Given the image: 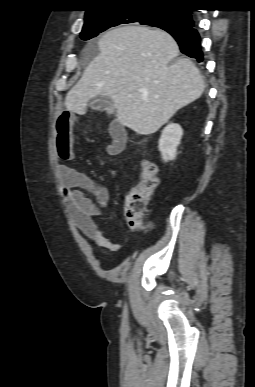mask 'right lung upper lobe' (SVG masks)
Here are the masks:
<instances>
[{
  "label": "right lung upper lobe",
  "instance_id": "1",
  "mask_svg": "<svg viewBox=\"0 0 255 387\" xmlns=\"http://www.w3.org/2000/svg\"><path fill=\"white\" fill-rule=\"evenodd\" d=\"M89 8L86 10V16L106 11L113 8L121 7H157V6H168V7H185L189 4L190 0H89ZM184 9H181L183 13ZM187 19L186 25H191L192 20L186 14H183ZM168 27V26H163Z\"/></svg>",
  "mask_w": 255,
  "mask_h": 387
}]
</instances>
